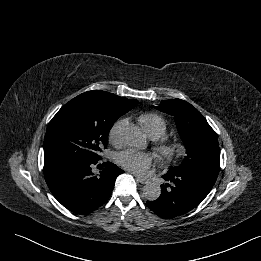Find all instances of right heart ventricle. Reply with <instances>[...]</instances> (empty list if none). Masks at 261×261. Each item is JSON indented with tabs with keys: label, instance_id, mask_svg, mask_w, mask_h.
Listing matches in <instances>:
<instances>
[{
	"label": "right heart ventricle",
	"instance_id": "obj_1",
	"mask_svg": "<svg viewBox=\"0 0 261 261\" xmlns=\"http://www.w3.org/2000/svg\"><path fill=\"white\" fill-rule=\"evenodd\" d=\"M138 121L146 135L151 139H159L166 133L167 124L158 114H142L139 116Z\"/></svg>",
	"mask_w": 261,
	"mask_h": 261
}]
</instances>
